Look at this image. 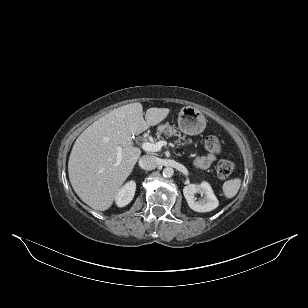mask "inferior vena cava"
Instances as JSON below:
<instances>
[{"label": "inferior vena cava", "instance_id": "inferior-vena-cava-1", "mask_svg": "<svg viewBox=\"0 0 308 308\" xmlns=\"http://www.w3.org/2000/svg\"><path fill=\"white\" fill-rule=\"evenodd\" d=\"M158 165V159L155 156L144 155L139 159V166L145 170L155 169Z\"/></svg>", "mask_w": 308, "mask_h": 308}]
</instances>
